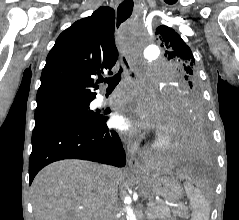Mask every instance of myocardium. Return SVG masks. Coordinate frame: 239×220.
Listing matches in <instances>:
<instances>
[{
	"label": "myocardium",
	"mask_w": 239,
	"mask_h": 220,
	"mask_svg": "<svg viewBox=\"0 0 239 220\" xmlns=\"http://www.w3.org/2000/svg\"><path fill=\"white\" fill-rule=\"evenodd\" d=\"M173 139L168 133L161 134L151 145L152 149L162 150L172 146Z\"/></svg>",
	"instance_id": "myocardium-1"
}]
</instances>
